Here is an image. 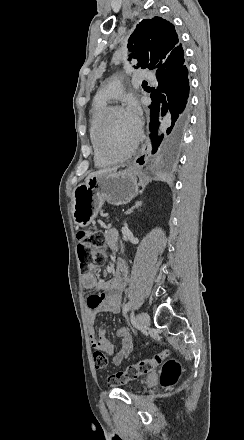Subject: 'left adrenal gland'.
Masks as SVG:
<instances>
[{"label":"left adrenal gland","mask_w":244,"mask_h":440,"mask_svg":"<svg viewBox=\"0 0 244 440\" xmlns=\"http://www.w3.org/2000/svg\"><path fill=\"white\" fill-rule=\"evenodd\" d=\"M139 206H142V202H136L135 206H133V208H130V212H132L134 208H139Z\"/></svg>","instance_id":"obj_1"}]
</instances>
